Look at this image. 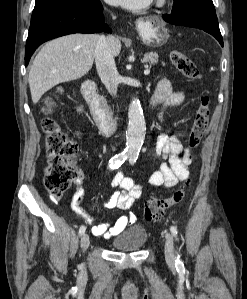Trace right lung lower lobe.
Returning a JSON list of instances; mask_svg holds the SVG:
<instances>
[{"label": "right lung lower lobe", "mask_w": 247, "mask_h": 299, "mask_svg": "<svg viewBox=\"0 0 247 299\" xmlns=\"http://www.w3.org/2000/svg\"><path fill=\"white\" fill-rule=\"evenodd\" d=\"M111 33L104 24L100 0L71 5L51 12L31 23L25 48V66L42 43L72 33Z\"/></svg>", "instance_id": "obj_1"}]
</instances>
